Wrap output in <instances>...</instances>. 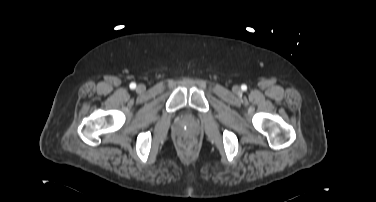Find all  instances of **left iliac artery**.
<instances>
[{
	"mask_svg": "<svg viewBox=\"0 0 376 202\" xmlns=\"http://www.w3.org/2000/svg\"><path fill=\"white\" fill-rule=\"evenodd\" d=\"M241 88H242V90L245 91L247 89V86L246 85H242Z\"/></svg>",
	"mask_w": 376,
	"mask_h": 202,
	"instance_id": "left-iliac-artery-1",
	"label": "left iliac artery"
}]
</instances>
